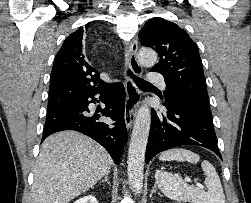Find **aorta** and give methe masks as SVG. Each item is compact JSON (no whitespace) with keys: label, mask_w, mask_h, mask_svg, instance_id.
I'll return each mask as SVG.
<instances>
[{"label":"aorta","mask_w":251,"mask_h":203,"mask_svg":"<svg viewBox=\"0 0 251 203\" xmlns=\"http://www.w3.org/2000/svg\"><path fill=\"white\" fill-rule=\"evenodd\" d=\"M138 59L144 66H153L157 61V54L153 49L142 48ZM151 124V112L147 105L139 108L132 130L128 149L127 174L133 192L140 194L143 187L145 152Z\"/></svg>","instance_id":"obj_1"}]
</instances>
